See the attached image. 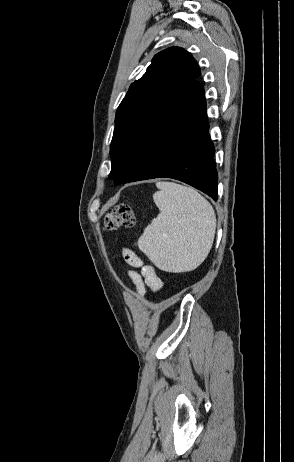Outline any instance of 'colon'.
I'll use <instances>...</instances> for the list:
<instances>
[{
    "mask_svg": "<svg viewBox=\"0 0 294 462\" xmlns=\"http://www.w3.org/2000/svg\"><path fill=\"white\" fill-rule=\"evenodd\" d=\"M135 219L132 208L126 203L115 206L104 220V229L107 231L115 230L119 227H132Z\"/></svg>",
    "mask_w": 294,
    "mask_h": 462,
    "instance_id": "obj_1",
    "label": "colon"
}]
</instances>
